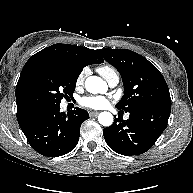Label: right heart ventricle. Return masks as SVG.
Returning a JSON list of instances; mask_svg holds the SVG:
<instances>
[{"label":"right heart ventricle","instance_id":"obj_1","mask_svg":"<svg viewBox=\"0 0 193 193\" xmlns=\"http://www.w3.org/2000/svg\"><path fill=\"white\" fill-rule=\"evenodd\" d=\"M98 72L106 79L110 74L116 73L115 69L109 65H102L98 68Z\"/></svg>","mask_w":193,"mask_h":193}]
</instances>
